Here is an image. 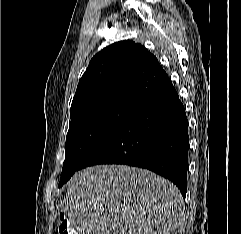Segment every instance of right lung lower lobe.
<instances>
[{
    "label": "right lung lower lobe",
    "instance_id": "obj_1",
    "mask_svg": "<svg viewBox=\"0 0 241 234\" xmlns=\"http://www.w3.org/2000/svg\"><path fill=\"white\" fill-rule=\"evenodd\" d=\"M188 149L185 109L168 79L90 150L80 169L113 163L145 168L172 181L185 198Z\"/></svg>",
    "mask_w": 241,
    "mask_h": 234
}]
</instances>
